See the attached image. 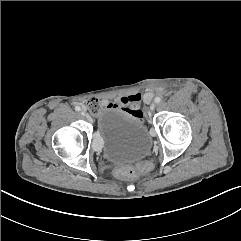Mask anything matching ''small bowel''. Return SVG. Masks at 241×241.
Listing matches in <instances>:
<instances>
[{"label":"small bowel","mask_w":241,"mask_h":241,"mask_svg":"<svg viewBox=\"0 0 241 241\" xmlns=\"http://www.w3.org/2000/svg\"><path fill=\"white\" fill-rule=\"evenodd\" d=\"M143 98L144 96L141 93H132L118 97L113 102L103 101V104L124 111L135 121H142L147 116V113L144 109L138 108L139 103ZM145 98L149 99L150 96L146 95Z\"/></svg>","instance_id":"c3829d8e"}]
</instances>
